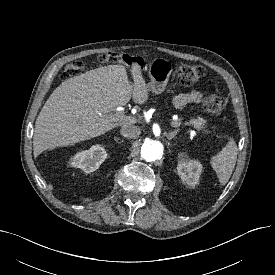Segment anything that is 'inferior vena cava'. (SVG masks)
<instances>
[{
	"mask_svg": "<svg viewBox=\"0 0 275 275\" xmlns=\"http://www.w3.org/2000/svg\"><path fill=\"white\" fill-rule=\"evenodd\" d=\"M120 133L127 139H136L139 137L141 131L140 128L135 125H123L120 129Z\"/></svg>",
	"mask_w": 275,
	"mask_h": 275,
	"instance_id": "602c4592",
	"label": "inferior vena cava"
}]
</instances>
